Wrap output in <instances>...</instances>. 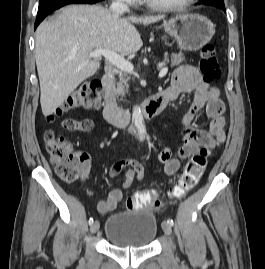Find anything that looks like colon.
Instances as JSON below:
<instances>
[{
    "mask_svg": "<svg viewBox=\"0 0 265 269\" xmlns=\"http://www.w3.org/2000/svg\"><path fill=\"white\" fill-rule=\"evenodd\" d=\"M199 70L206 82H215L221 76V68L216 57L215 48L212 44H206L201 51L199 58ZM102 87L98 81H90L68 96L64 104L57 112L48 117L49 120L62 112L73 109L98 108L101 101ZM87 123L83 119L64 121L62 127L66 130L72 128L84 129ZM46 149L50 160L55 167L58 177L66 182L72 183L81 176V156H78L70 141L64 136L53 131L45 134ZM208 150L203 149L195 154L186 164L183 173L176 183L172 195L175 198H182L190 192L201 179L207 166ZM161 204V195L155 190H143L128 197L125 205L130 210L142 209L145 207H157Z\"/></svg>",
    "mask_w": 265,
    "mask_h": 269,
    "instance_id": "1",
    "label": "colon"
}]
</instances>
